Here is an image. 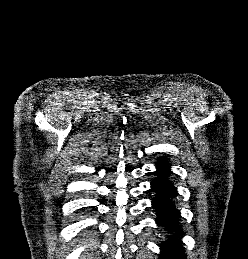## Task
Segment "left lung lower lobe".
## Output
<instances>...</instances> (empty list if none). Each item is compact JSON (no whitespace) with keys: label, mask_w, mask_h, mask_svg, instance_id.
<instances>
[{"label":"left lung lower lobe","mask_w":248,"mask_h":259,"mask_svg":"<svg viewBox=\"0 0 248 259\" xmlns=\"http://www.w3.org/2000/svg\"><path fill=\"white\" fill-rule=\"evenodd\" d=\"M157 177L152 181L151 189L156 192V198L152 205L157 213L156 222L172 232H178L177 227L179 211L175 208L172 198L177 194L176 188L168 179L170 175V168L168 162L160 158L156 163ZM177 234H173L172 240L165 242L162 245V252L160 259H186L182 245L175 239Z\"/></svg>","instance_id":"obj_1"}]
</instances>
